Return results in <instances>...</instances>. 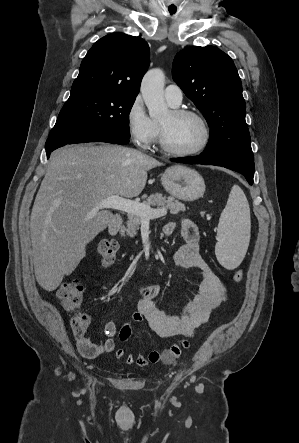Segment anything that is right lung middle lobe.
I'll use <instances>...</instances> for the list:
<instances>
[{
    "label": "right lung middle lobe",
    "instance_id": "right-lung-middle-lobe-1",
    "mask_svg": "<svg viewBox=\"0 0 299 443\" xmlns=\"http://www.w3.org/2000/svg\"><path fill=\"white\" fill-rule=\"evenodd\" d=\"M135 98L100 89L71 90L48 138L102 131L129 138V113Z\"/></svg>",
    "mask_w": 299,
    "mask_h": 443
}]
</instances>
